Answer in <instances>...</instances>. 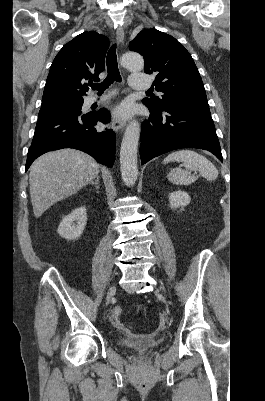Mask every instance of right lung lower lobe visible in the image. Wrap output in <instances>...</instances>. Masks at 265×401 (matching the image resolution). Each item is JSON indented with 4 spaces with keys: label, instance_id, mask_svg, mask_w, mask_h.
I'll return each mask as SVG.
<instances>
[{
    "label": "right lung lower lobe",
    "instance_id": "98d812e1",
    "mask_svg": "<svg viewBox=\"0 0 265 401\" xmlns=\"http://www.w3.org/2000/svg\"><path fill=\"white\" fill-rule=\"evenodd\" d=\"M97 122H110L109 111L101 109L83 115L50 114L38 118L28 150L26 171L40 155L62 148L84 151L99 163L112 167L115 160V133L111 129L97 130Z\"/></svg>",
    "mask_w": 265,
    "mask_h": 401
}]
</instances>
